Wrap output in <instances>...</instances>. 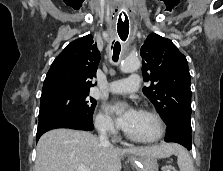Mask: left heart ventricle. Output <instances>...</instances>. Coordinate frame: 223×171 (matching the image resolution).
<instances>
[{
  "label": "left heart ventricle",
  "instance_id": "b2bd125f",
  "mask_svg": "<svg viewBox=\"0 0 223 171\" xmlns=\"http://www.w3.org/2000/svg\"><path fill=\"white\" fill-rule=\"evenodd\" d=\"M126 132L138 139H150L156 136L158 127L156 121L151 116L138 112Z\"/></svg>",
  "mask_w": 223,
  "mask_h": 171
}]
</instances>
